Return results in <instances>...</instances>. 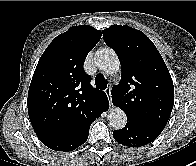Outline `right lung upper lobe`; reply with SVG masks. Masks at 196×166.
<instances>
[{"label":"right lung upper lobe","instance_id":"right-lung-upper-lobe-1","mask_svg":"<svg viewBox=\"0 0 196 166\" xmlns=\"http://www.w3.org/2000/svg\"><path fill=\"white\" fill-rule=\"evenodd\" d=\"M101 31L73 26L57 36L42 54L28 91V114L37 135L78 130L104 92L90 85L83 65Z\"/></svg>","mask_w":196,"mask_h":166}]
</instances>
